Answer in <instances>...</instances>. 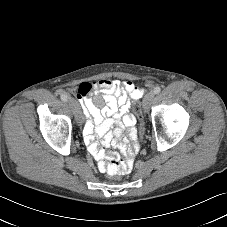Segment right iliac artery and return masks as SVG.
Returning a JSON list of instances; mask_svg holds the SVG:
<instances>
[{"instance_id":"82829eb1","label":"right iliac artery","mask_w":227,"mask_h":227,"mask_svg":"<svg viewBox=\"0 0 227 227\" xmlns=\"http://www.w3.org/2000/svg\"><path fill=\"white\" fill-rule=\"evenodd\" d=\"M60 98L64 102H66L68 100V96L66 94H61Z\"/></svg>"}]
</instances>
